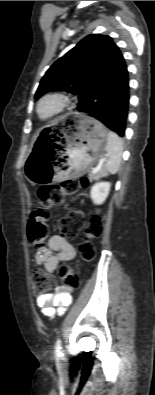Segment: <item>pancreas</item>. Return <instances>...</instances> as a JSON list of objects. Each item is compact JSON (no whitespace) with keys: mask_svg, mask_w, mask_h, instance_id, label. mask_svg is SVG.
<instances>
[{"mask_svg":"<svg viewBox=\"0 0 155 395\" xmlns=\"http://www.w3.org/2000/svg\"><path fill=\"white\" fill-rule=\"evenodd\" d=\"M105 175V170L104 171H97L95 173L89 174V179L91 180H97L100 177H103Z\"/></svg>","mask_w":155,"mask_h":395,"instance_id":"pancreas-1","label":"pancreas"}]
</instances>
